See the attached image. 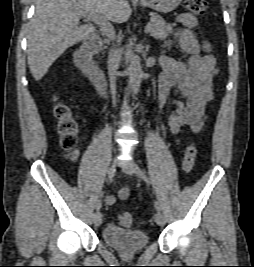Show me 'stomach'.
<instances>
[{
  "mask_svg": "<svg viewBox=\"0 0 254 267\" xmlns=\"http://www.w3.org/2000/svg\"><path fill=\"white\" fill-rule=\"evenodd\" d=\"M182 0H142L141 5L157 12L168 13L180 5Z\"/></svg>",
  "mask_w": 254,
  "mask_h": 267,
  "instance_id": "obj_1",
  "label": "stomach"
}]
</instances>
